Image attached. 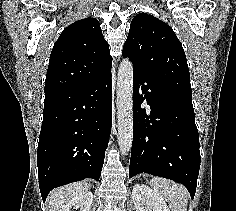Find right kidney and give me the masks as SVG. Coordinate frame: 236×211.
I'll use <instances>...</instances> for the list:
<instances>
[{
  "mask_svg": "<svg viewBox=\"0 0 236 211\" xmlns=\"http://www.w3.org/2000/svg\"><path fill=\"white\" fill-rule=\"evenodd\" d=\"M92 200V192L86 191L64 204L59 211H71L72 208L80 209V211H90Z\"/></svg>",
  "mask_w": 236,
  "mask_h": 211,
  "instance_id": "1",
  "label": "right kidney"
}]
</instances>
